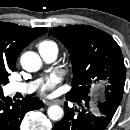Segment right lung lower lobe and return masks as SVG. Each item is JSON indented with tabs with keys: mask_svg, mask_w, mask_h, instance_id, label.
Listing matches in <instances>:
<instances>
[{
	"mask_svg": "<svg viewBox=\"0 0 130 130\" xmlns=\"http://www.w3.org/2000/svg\"><path fill=\"white\" fill-rule=\"evenodd\" d=\"M42 105L41 100L30 96L13 102L0 91V130H20L24 115L31 110L40 109Z\"/></svg>",
	"mask_w": 130,
	"mask_h": 130,
	"instance_id": "98d812e1",
	"label": "right lung lower lobe"
}]
</instances>
